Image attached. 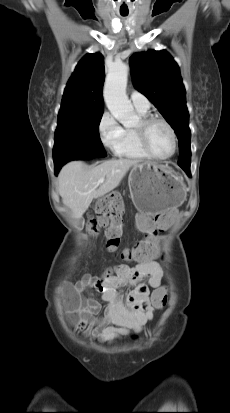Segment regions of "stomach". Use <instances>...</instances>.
Masks as SVG:
<instances>
[{
  "label": "stomach",
  "mask_w": 230,
  "mask_h": 413,
  "mask_svg": "<svg viewBox=\"0 0 230 413\" xmlns=\"http://www.w3.org/2000/svg\"><path fill=\"white\" fill-rule=\"evenodd\" d=\"M131 199L141 213L163 215L170 206L179 207L186 199L183 179L162 164L135 165L128 178Z\"/></svg>",
  "instance_id": "0dacf381"
}]
</instances>
